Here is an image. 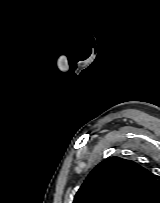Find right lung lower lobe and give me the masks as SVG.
Returning <instances> with one entry per match:
<instances>
[{
	"mask_svg": "<svg viewBox=\"0 0 160 203\" xmlns=\"http://www.w3.org/2000/svg\"><path fill=\"white\" fill-rule=\"evenodd\" d=\"M153 203H160V194L158 195L157 200Z\"/></svg>",
	"mask_w": 160,
	"mask_h": 203,
	"instance_id": "1",
	"label": "right lung lower lobe"
}]
</instances>
